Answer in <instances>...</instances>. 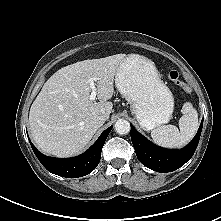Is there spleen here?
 Returning <instances> with one entry per match:
<instances>
[{"label":"spleen","instance_id":"obj_1","mask_svg":"<svg viewBox=\"0 0 221 221\" xmlns=\"http://www.w3.org/2000/svg\"><path fill=\"white\" fill-rule=\"evenodd\" d=\"M183 116L179 119V129L174 125H164L151 132L153 141L163 147L174 148L186 145L198 129V113L190 102L184 103Z\"/></svg>","mask_w":221,"mask_h":221}]
</instances>
